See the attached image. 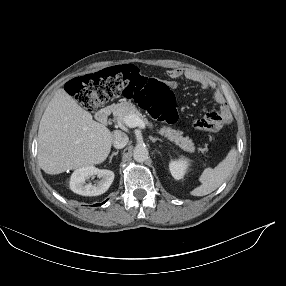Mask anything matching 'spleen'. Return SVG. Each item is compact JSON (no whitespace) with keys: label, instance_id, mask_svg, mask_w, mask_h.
Returning <instances> with one entry per match:
<instances>
[{"label":"spleen","instance_id":"3e777b00","mask_svg":"<svg viewBox=\"0 0 286 286\" xmlns=\"http://www.w3.org/2000/svg\"><path fill=\"white\" fill-rule=\"evenodd\" d=\"M237 151L233 147L224 160H222L214 169L206 168L199 180L201 185L191 191L193 196H205L216 190L230 175L236 162Z\"/></svg>","mask_w":286,"mask_h":286}]
</instances>
